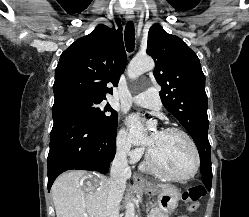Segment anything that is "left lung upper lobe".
I'll use <instances>...</instances> for the list:
<instances>
[{
  "label": "left lung upper lobe",
  "instance_id": "obj_1",
  "mask_svg": "<svg viewBox=\"0 0 249 217\" xmlns=\"http://www.w3.org/2000/svg\"><path fill=\"white\" fill-rule=\"evenodd\" d=\"M147 54L155 61L154 77L161 86L165 108L195 141L201 172L211 171L205 76L197 55L179 37L154 24L148 33Z\"/></svg>",
  "mask_w": 249,
  "mask_h": 217
}]
</instances>
